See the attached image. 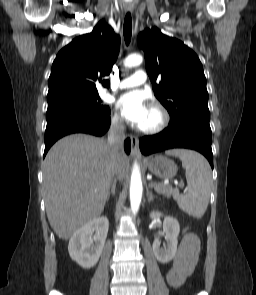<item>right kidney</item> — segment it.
<instances>
[{
	"label": "right kidney",
	"instance_id": "ca27d5eb",
	"mask_svg": "<svg viewBox=\"0 0 256 295\" xmlns=\"http://www.w3.org/2000/svg\"><path fill=\"white\" fill-rule=\"evenodd\" d=\"M107 217L95 218L80 227L70 238L68 252L72 260L84 269L98 262L108 233ZM94 231L96 235L92 237Z\"/></svg>",
	"mask_w": 256,
	"mask_h": 295
}]
</instances>
